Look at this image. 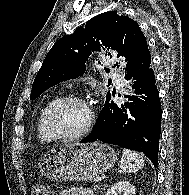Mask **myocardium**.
Returning <instances> with one entry per match:
<instances>
[{
	"label": "myocardium",
	"mask_w": 189,
	"mask_h": 195,
	"mask_svg": "<svg viewBox=\"0 0 189 195\" xmlns=\"http://www.w3.org/2000/svg\"><path fill=\"white\" fill-rule=\"evenodd\" d=\"M70 104H80L86 107L89 113V118L83 130H81L79 133L74 135H63L57 130L55 125V120L58 113L64 107ZM94 123H95V112L90 102L80 96H69V97L62 98L50 109L46 117V128L49 134L54 140L61 141V142H71L83 138L91 131Z\"/></svg>",
	"instance_id": "obj_1"
}]
</instances>
